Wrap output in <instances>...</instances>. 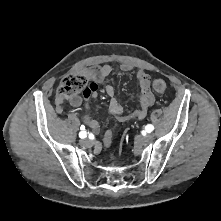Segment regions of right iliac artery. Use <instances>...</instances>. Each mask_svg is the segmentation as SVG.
<instances>
[{
    "label": "right iliac artery",
    "instance_id": "1",
    "mask_svg": "<svg viewBox=\"0 0 221 221\" xmlns=\"http://www.w3.org/2000/svg\"><path fill=\"white\" fill-rule=\"evenodd\" d=\"M84 129L85 128H83L82 131L79 133V137L82 139L87 137V132Z\"/></svg>",
    "mask_w": 221,
    "mask_h": 221
}]
</instances>
